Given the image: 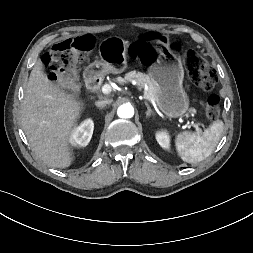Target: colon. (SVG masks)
Here are the masks:
<instances>
[{
  "instance_id": "obj_1",
  "label": "colon",
  "mask_w": 253,
  "mask_h": 253,
  "mask_svg": "<svg viewBox=\"0 0 253 253\" xmlns=\"http://www.w3.org/2000/svg\"><path fill=\"white\" fill-rule=\"evenodd\" d=\"M93 41L90 37L83 36L57 43L44 55L43 62L50 68L52 80L61 79L70 88L75 87L71 70L92 49ZM131 54L137 56L143 64H149L153 60V53L148 48L134 43L131 46ZM184 66L189 80L200 89L210 91L214 88L217 77L215 71L207 61L194 50H188L184 54ZM220 99L211 95L205 102V115L209 120H216L220 115Z\"/></svg>"
}]
</instances>
